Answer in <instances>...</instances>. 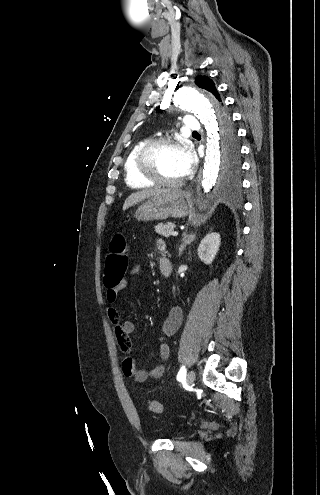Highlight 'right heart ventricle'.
<instances>
[{"label":"right heart ventricle","instance_id":"right-heart-ventricle-1","mask_svg":"<svg viewBox=\"0 0 320 495\" xmlns=\"http://www.w3.org/2000/svg\"><path fill=\"white\" fill-rule=\"evenodd\" d=\"M148 142L142 140L136 143L126 156L124 162V176L126 184L135 189L150 188L154 185L153 182L142 177L136 169V158L140 149Z\"/></svg>","mask_w":320,"mask_h":495}]
</instances>
